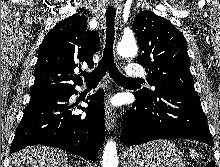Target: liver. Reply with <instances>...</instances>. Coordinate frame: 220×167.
<instances>
[{
    "label": "liver",
    "mask_w": 220,
    "mask_h": 167,
    "mask_svg": "<svg viewBox=\"0 0 220 167\" xmlns=\"http://www.w3.org/2000/svg\"><path fill=\"white\" fill-rule=\"evenodd\" d=\"M9 167H69L65 152L55 148L27 147L13 154Z\"/></svg>",
    "instance_id": "1"
}]
</instances>
